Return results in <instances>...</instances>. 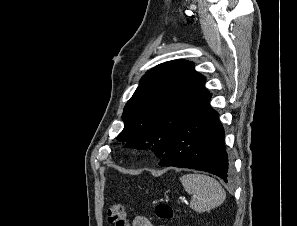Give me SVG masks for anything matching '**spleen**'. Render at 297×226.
Here are the masks:
<instances>
[{
    "mask_svg": "<svg viewBox=\"0 0 297 226\" xmlns=\"http://www.w3.org/2000/svg\"><path fill=\"white\" fill-rule=\"evenodd\" d=\"M184 190L193 195L190 208L196 212L209 211L220 206L226 193L217 180L204 174H185L180 178Z\"/></svg>",
    "mask_w": 297,
    "mask_h": 226,
    "instance_id": "3e777b00",
    "label": "spleen"
}]
</instances>
